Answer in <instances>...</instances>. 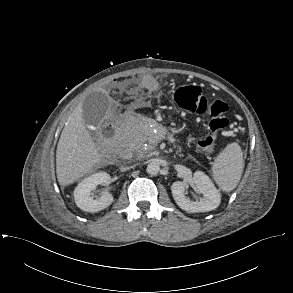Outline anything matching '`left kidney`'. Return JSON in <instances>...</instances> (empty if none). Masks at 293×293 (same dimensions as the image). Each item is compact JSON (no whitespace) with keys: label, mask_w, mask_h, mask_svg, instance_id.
<instances>
[{"label":"left kidney","mask_w":293,"mask_h":293,"mask_svg":"<svg viewBox=\"0 0 293 293\" xmlns=\"http://www.w3.org/2000/svg\"><path fill=\"white\" fill-rule=\"evenodd\" d=\"M193 183L203 194L200 201H192L185 196L188 184L176 181L171 186V191L176 204L183 210L191 213L208 212L216 209L221 201L220 192L211 179L203 172L196 171L193 175Z\"/></svg>","instance_id":"left-kidney-1"}]
</instances>
